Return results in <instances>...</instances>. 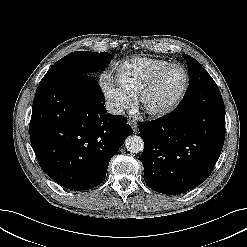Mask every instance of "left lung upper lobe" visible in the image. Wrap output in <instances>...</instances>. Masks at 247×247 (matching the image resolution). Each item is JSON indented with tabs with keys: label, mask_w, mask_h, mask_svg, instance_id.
<instances>
[{
	"label": "left lung upper lobe",
	"mask_w": 247,
	"mask_h": 247,
	"mask_svg": "<svg viewBox=\"0 0 247 247\" xmlns=\"http://www.w3.org/2000/svg\"><path fill=\"white\" fill-rule=\"evenodd\" d=\"M182 56L185 58L188 66V72H189V86L188 89L183 97L184 101H192L195 100V91H193V88L191 85L197 81H200L205 78H212L206 70L200 65V63L192 58L191 56L187 54H182Z\"/></svg>",
	"instance_id": "obj_1"
}]
</instances>
